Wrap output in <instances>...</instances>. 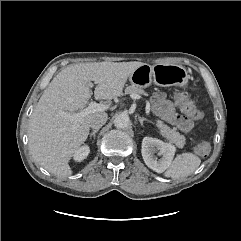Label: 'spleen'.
Listing matches in <instances>:
<instances>
[{
	"instance_id": "1",
	"label": "spleen",
	"mask_w": 241,
	"mask_h": 241,
	"mask_svg": "<svg viewBox=\"0 0 241 241\" xmlns=\"http://www.w3.org/2000/svg\"><path fill=\"white\" fill-rule=\"evenodd\" d=\"M201 163V159L193 153L178 154L168 167L164 176L172 179H179L193 173Z\"/></svg>"
}]
</instances>
